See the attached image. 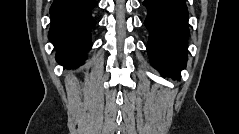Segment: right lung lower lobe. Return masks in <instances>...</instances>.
<instances>
[{"mask_svg": "<svg viewBox=\"0 0 239 134\" xmlns=\"http://www.w3.org/2000/svg\"><path fill=\"white\" fill-rule=\"evenodd\" d=\"M96 5L95 0H54L51 5L48 37L57 50V62L69 69L82 65L92 46L96 22L91 11Z\"/></svg>", "mask_w": 239, "mask_h": 134, "instance_id": "98d812e1", "label": "right lung lower lobe"}]
</instances>
